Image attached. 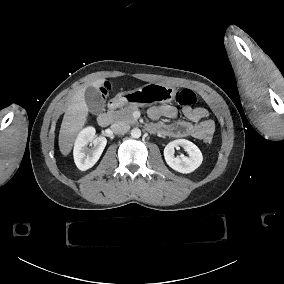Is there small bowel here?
Returning a JSON list of instances; mask_svg holds the SVG:
<instances>
[{
    "label": "small bowel",
    "instance_id": "obj_1",
    "mask_svg": "<svg viewBox=\"0 0 284 284\" xmlns=\"http://www.w3.org/2000/svg\"><path fill=\"white\" fill-rule=\"evenodd\" d=\"M182 113L187 120H179L171 124L161 122V118L176 119L178 110L172 105H156L148 110L152 120L150 128L173 138L193 137L205 140L215 131V123L208 119V111L203 107H184Z\"/></svg>",
    "mask_w": 284,
    "mask_h": 284
}]
</instances>
